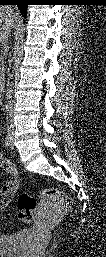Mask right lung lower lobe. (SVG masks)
<instances>
[{
    "label": "right lung lower lobe",
    "mask_w": 106,
    "mask_h": 257,
    "mask_svg": "<svg viewBox=\"0 0 106 257\" xmlns=\"http://www.w3.org/2000/svg\"><path fill=\"white\" fill-rule=\"evenodd\" d=\"M1 4H11V5H17L21 14H24L26 11V5L29 4V0H0Z\"/></svg>",
    "instance_id": "right-lung-lower-lobe-1"
}]
</instances>
